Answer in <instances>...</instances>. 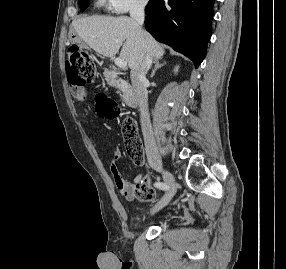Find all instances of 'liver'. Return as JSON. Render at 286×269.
<instances>
[{"label":"liver","mask_w":286,"mask_h":269,"mask_svg":"<svg viewBox=\"0 0 286 269\" xmlns=\"http://www.w3.org/2000/svg\"><path fill=\"white\" fill-rule=\"evenodd\" d=\"M72 27L87 45L104 57L115 56L123 45L120 58L131 70H137L146 54L159 59L164 49L129 17L91 16L74 20Z\"/></svg>","instance_id":"1"}]
</instances>
